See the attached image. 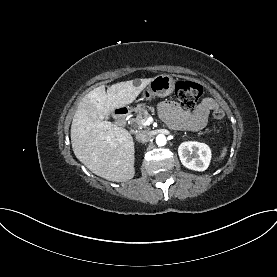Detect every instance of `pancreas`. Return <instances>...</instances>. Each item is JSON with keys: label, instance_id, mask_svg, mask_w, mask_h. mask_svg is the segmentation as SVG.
I'll use <instances>...</instances> for the list:
<instances>
[{"label": "pancreas", "instance_id": "pancreas-1", "mask_svg": "<svg viewBox=\"0 0 277 277\" xmlns=\"http://www.w3.org/2000/svg\"><path fill=\"white\" fill-rule=\"evenodd\" d=\"M151 110V112L154 111L153 107H146L145 105L141 106L138 105L134 111L137 113V116L135 119L132 120V122L136 123L139 128L143 127V122L150 116L148 110Z\"/></svg>", "mask_w": 277, "mask_h": 277}]
</instances>
